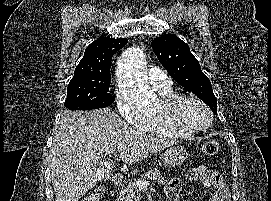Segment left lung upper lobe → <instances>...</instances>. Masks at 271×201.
I'll return each instance as SVG.
<instances>
[{
  "label": "left lung upper lobe",
  "instance_id": "1",
  "mask_svg": "<svg viewBox=\"0 0 271 201\" xmlns=\"http://www.w3.org/2000/svg\"><path fill=\"white\" fill-rule=\"evenodd\" d=\"M158 60L169 75L187 91L192 92L217 114V99L209 78L202 72L189 46L174 34H166L151 43Z\"/></svg>",
  "mask_w": 271,
  "mask_h": 201
}]
</instances>
